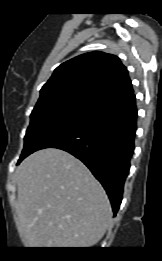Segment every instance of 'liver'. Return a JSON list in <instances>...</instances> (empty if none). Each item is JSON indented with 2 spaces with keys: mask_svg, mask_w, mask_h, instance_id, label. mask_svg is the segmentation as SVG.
Wrapping results in <instances>:
<instances>
[{
  "mask_svg": "<svg viewBox=\"0 0 162 261\" xmlns=\"http://www.w3.org/2000/svg\"><path fill=\"white\" fill-rule=\"evenodd\" d=\"M17 212L33 248L96 244L112 217L109 199L87 167L71 154L48 148L28 156L16 171Z\"/></svg>",
  "mask_w": 162,
  "mask_h": 261,
  "instance_id": "6515ba94",
  "label": "liver"
}]
</instances>
